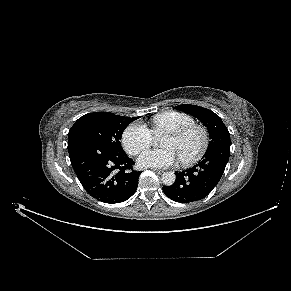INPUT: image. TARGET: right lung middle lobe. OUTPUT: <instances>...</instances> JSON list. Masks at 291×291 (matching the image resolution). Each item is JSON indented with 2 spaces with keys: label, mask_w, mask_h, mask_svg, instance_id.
I'll return each instance as SVG.
<instances>
[{
  "label": "right lung middle lobe",
  "mask_w": 291,
  "mask_h": 291,
  "mask_svg": "<svg viewBox=\"0 0 291 291\" xmlns=\"http://www.w3.org/2000/svg\"><path fill=\"white\" fill-rule=\"evenodd\" d=\"M139 117H124L109 112H94L80 117L70 129L69 140L86 136L119 152H124L120 139L125 128Z\"/></svg>",
  "instance_id": "obj_1"
}]
</instances>
